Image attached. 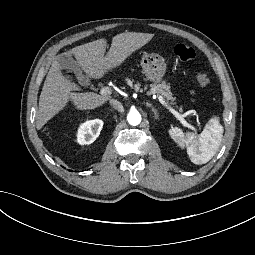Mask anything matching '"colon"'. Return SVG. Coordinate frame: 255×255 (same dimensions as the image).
Segmentation results:
<instances>
[{
  "label": "colon",
  "instance_id": "obj_1",
  "mask_svg": "<svg viewBox=\"0 0 255 255\" xmlns=\"http://www.w3.org/2000/svg\"><path fill=\"white\" fill-rule=\"evenodd\" d=\"M174 53L176 57L182 61H193L196 59V51L186 44H178L174 49ZM196 80L199 86H207L209 83L208 72L204 70H198Z\"/></svg>",
  "mask_w": 255,
  "mask_h": 255
}]
</instances>
